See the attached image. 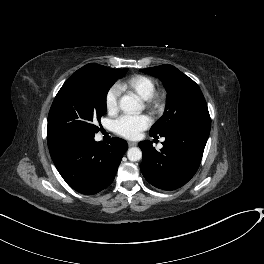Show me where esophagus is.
<instances>
[{
	"instance_id": "34e87169",
	"label": "esophagus",
	"mask_w": 264,
	"mask_h": 264,
	"mask_svg": "<svg viewBox=\"0 0 264 264\" xmlns=\"http://www.w3.org/2000/svg\"><path fill=\"white\" fill-rule=\"evenodd\" d=\"M136 145H137V143H135V142H131V141L128 142V146L129 147H133V146H136Z\"/></svg>"
}]
</instances>
